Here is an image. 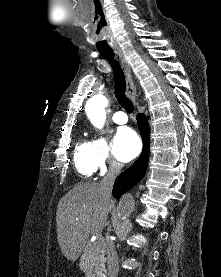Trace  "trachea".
Returning <instances> with one entry per match:
<instances>
[{"label": "trachea", "instance_id": "3493384b", "mask_svg": "<svg viewBox=\"0 0 221 277\" xmlns=\"http://www.w3.org/2000/svg\"><path fill=\"white\" fill-rule=\"evenodd\" d=\"M100 54L109 62L111 65L114 76H115V96L119 104L128 112L132 113L134 110L133 103L126 96V81L124 72L119 62L114 58L113 51H100Z\"/></svg>", "mask_w": 221, "mask_h": 277}]
</instances>
